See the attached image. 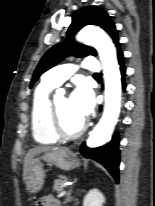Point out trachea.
<instances>
[{
    "label": "trachea",
    "instance_id": "3493384b",
    "mask_svg": "<svg viewBox=\"0 0 155 206\" xmlns=\"http://www.w3.org/2000/svg\"><path fill=\"white\" fill-rule=\"evenodd\" d=\"M94 76H96V77H97V76H100V74H98V73H95V74H94Z\"/></svg>",
    "mask_w": 155,
    "mask_h": 206
}]
</instances>
